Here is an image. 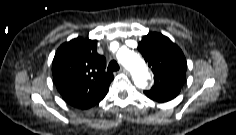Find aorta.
Listing matches in <instances>:
<instances>
[{
  "label": "aorta",
  "mask_w": 236,
  "mask_h": 135,
  "mask_svg": "<svg viewBox=\"0 0 236 135\" xmlns=\"http://www.w3.org/2000/svg\"><path fill=\"white\" fill-rule=\"evenodd\" d=\"M117 58L119 62L131 72L134 84L141 89L148 85L150 74L143 59L130 50H121Z\"/></svg>",
  "instance_id": "1"
}]
</instances>
